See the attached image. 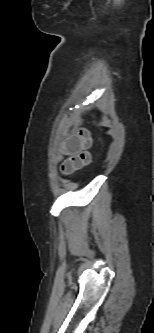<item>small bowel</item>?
I'll return each mask as SVG.
<instances>
[{"label": "small bowel", "instance_id": "small-bowel-1", "mask_svg": "<svg viewBox=\"0 0 154 333\" xmlns=\"http://www.w3.org/2000/svg\"><path fill=\"white\" fill-rule=\"evenodd\" d=\"M92 141L90 132L82 128L64 145L61 158L63 174L69 175L91 162L92 156L89 149L92 146Z\"/></svg>", "mask_w": 154, "mask_h": 333}]
</instances>
